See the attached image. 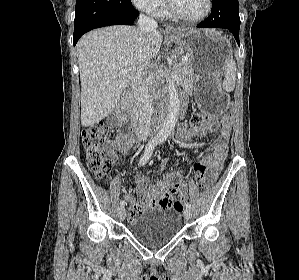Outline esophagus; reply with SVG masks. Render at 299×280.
I'll return each mask as SVG.
<instances>
[{"label":"esophagus","mask_w":299,"mask_h":280,"mask_svg":"<svg viewBox=\"0 0 299 280\" xmlns=\"http://www.w3.org/2000/svg\"><path fill=\"white\" fill-rule=\"evenodd\" d=\"M176 32V30H175V28L174 27H172V26H170V25H167L166 27H165V33H175Z\"/></svg>","instance_id":"esophagus-1"}]
</instances>
